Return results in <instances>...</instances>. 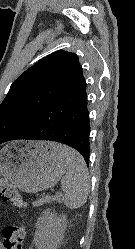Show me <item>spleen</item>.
Returning <instances> with one entry per match:
<instances>
[{"instance_id": "3e777b00", "label": "spleen", "mask_w": 135, "mask_h": 249, "mask_svg": "<svg viewBox=\"0 0 135 249\" xmlns=\"http://www.w3.org/2000/svg\"><path fill=\"white\" fill-rule=\"evenodd\" d=\"M53 151L67 163L66 175L61 180L63 201L70 209L82 207L90 192V177L83 157L74 149L52 143Z\"/></svg>"}]
</instances>
